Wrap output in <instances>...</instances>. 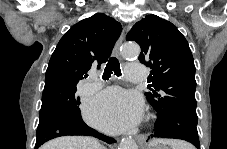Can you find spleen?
<instances>
[{
	"label": "spleen",
	"instance_id": "3e777b00",
	"mask_svg": "<svg viewBox=\"0 0 227 149\" xmlns=\"http://www.w3.org/2000/svg\"><path fill=\"white\" fill-rule=\"evenodd\" d=\"M158 144H163L165 146L169 145L171 149H192L188 143L177 140L155 139L150 143L151 146H156Z\"/></svg>",
	"mask_w": 227,
	"mask_h": 149
}]
</instances>
